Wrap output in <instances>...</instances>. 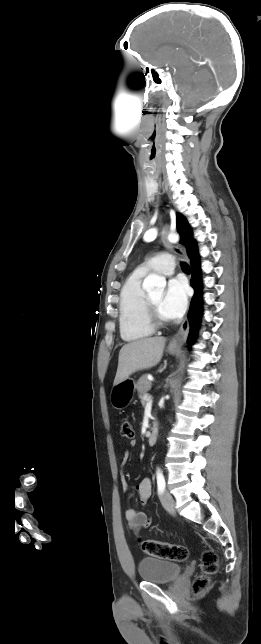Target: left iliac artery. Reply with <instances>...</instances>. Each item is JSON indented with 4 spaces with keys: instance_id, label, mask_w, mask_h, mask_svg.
<instances>
[{
    "instance_id": "1",
    "label": "left iliac artery",
    "mask_w": 261,
    "mask_h": 644,
    "mask_svg": "<svg viewBox=\"0 0 261 644\" xmlns=\"http://www.w3.org/2000/svg\"><path fill=\"white\" fill-rule=\"evenodd\" d=\"M157 488H158V493H163L165 490V478L163 476L162 471L158 468L157 469Z\"/></svg>"
}]
</instances>
